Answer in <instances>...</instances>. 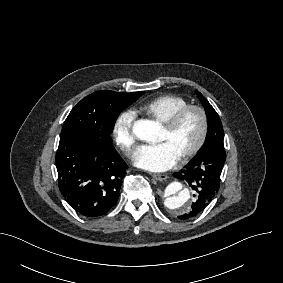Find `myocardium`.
I'll return each instance as SVG.
<instances>
[{
    "label": "myocardium",
    "instance_id": "obj_1",
    "mask_svg": "<svg viewBox=\"0 0 283 283\" xmlns=\"http://www.w3.org/2000/svg\"><path fill=\"white\" fill-rule=\"evenodd\" d=\"M192 111L196 112L200 117L201 133L197 143L191 149L184 152L183 155L180 157V160L182 161L188 160L189 158H192L193 156L197 155L206 144L209 127L206 112L202 107L198 105H187L170 114L163 122L165 129L170 132L175 129L177 124L187 113Z\"/></svg>",
    "mask_w": 283,
    "mask_h": 283
}]
</instances>
